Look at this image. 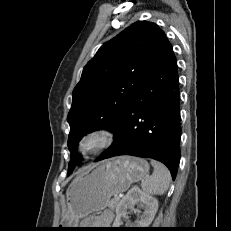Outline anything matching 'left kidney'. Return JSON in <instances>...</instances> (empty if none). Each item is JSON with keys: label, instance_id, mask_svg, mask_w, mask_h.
Listing matches in <instances>:
<instances>
[{"label": "left kidney", "instance_id": "obj_1", "mask_svg": "<svg viewBox=\"0 0 231 231\" xmlns=\"http://www.w3.org/2000/svg\"><path fill=\"white\" fill-rule=\"evenodd\" d=\"M138 204L144 209L143 214L135 222L134 228H147L153 221L158 209V200L144 193L138 187L132 188L126 196L122 198L116 207V218L113 223V228H120L122 225V217L127 214V209Z\"/></svg>", "mask_w": 231, "mask_h": 231}]
</instances>
